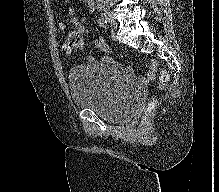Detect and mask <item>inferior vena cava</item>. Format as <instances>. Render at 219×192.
Segmentation results:
<instances>
[{"instance_id": "1", "label": "inferior vena cava", "mask_w": 219, "mask_h": 192, "mask_svg": "<svg viewBox=\"0 0 219 192\" xmlns=\"http://www.w3.org/2000/svg\"><path fill=\"white\" fill-rule=\"evenodd\" d=\"M104 3H109L111 2L112 0H102Z\"/></svg>"}]
</instances>
